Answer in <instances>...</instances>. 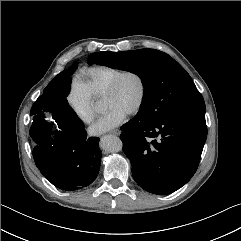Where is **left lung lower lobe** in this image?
Segmentation results:
<instances>
[{"label": "left lung lower lobe", "mask_w": 241, "mask_h": 241, "mask_svg": "<svg viewBox=\"0 0 241 241\" xmlns=\"http://www.w3.org/2000/svg\"><path fill=\"white\" fill-rule=\"evenodd\" d=\"M121 131L134 180L157 195L170 194L192 178L207 138L204 111H174L157 120L136 115Z\"/></svg>", "instance_id": "1"}]
</instances>
